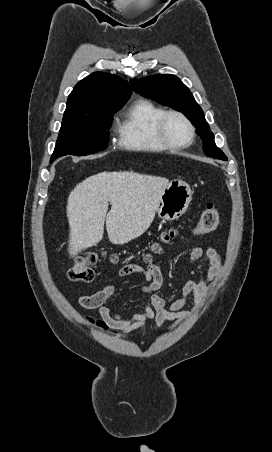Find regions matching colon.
<instances>
[{
	"instance_id": "5ec220e1",
	"label": "colon",
	"mask_w": 272,
	"mask_h": 452,
	"mask_svg": "<svg viewBox=\"0 0 272 452\" xmlns=\"http://www.w3.org/2000/svg\"><path fill=\"white\" fill-rule=\"evenodd\" d=\"M219 211L213 203H209L203 209L201 216L193 229L195 234H207L214 231L218 225ZM177 236L174 229L164 232L161 236V241L167 243ZM160 250L159 244L152 246L153 252ZM100 257L95 252H88L75 259L72 266L68 270V278L74 282L90 283L95 280V272L93 267L97 264ZM112 260H116L112 257ZM146 261H150V257H146Z\"/></svg>"
}]
</instances>
